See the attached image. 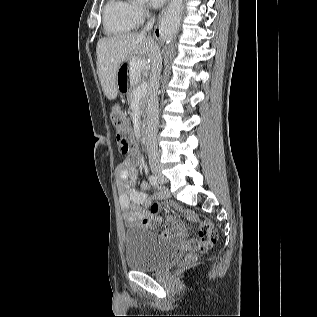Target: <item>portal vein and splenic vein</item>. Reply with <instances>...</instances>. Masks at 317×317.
I'll use <instances>...</instances> for the list:
<instances>
[{
  "mask_svg": "<svg viewBox=\"0 0 317 317\" xmlns=\"http://www.w3.org/2000/svg\"><path fill=\"white\" fill-rule=\"evenodd\" d=\"M147 88H148V83L143 82L140 86H138L134 90V96L141 97V96L145 95L147 92Z\"/></svg>",
  "mask_w": 317,
  "mask_h": 317,
  "instance_id": "portal-vein-and-splenic-vein-1",
  "label": "portal vein and splenic vein"
}]
</instances>
